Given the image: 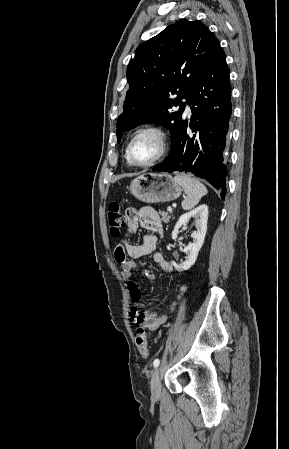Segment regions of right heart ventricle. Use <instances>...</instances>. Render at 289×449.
<instances>
[{
    "label": "right heart ventricle",
    "instance_id": "e07e8e85",
    "mask_svg": "<svg viewBox=\"0 0 289 449\" xmlns=\"http://www.w3.org/2000/svg\"><path fill=\"white\" fill-rule=\"evenodd\" d=\"M125 158H126L127 163H128L129 165H131V163L129 162L128 157H127V150H126V153H125Z\"/></svg>",
    "mask_w": 289,
    "mask_h": 449
}]
</instances>
